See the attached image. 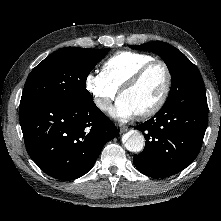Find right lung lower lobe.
I'll return each mask as SVG.
<instances>
[{
    "label": "right lung lower lobe",
    "instance_id": "obj_1",
    "mask_svg": "<svg viewBox=\"0 0 221 221\" xmlns=\"http://www.w3.org/2000/svg\"><path fill=\"white\" fill-rule=\"evenodd\" d=\"M20 125L29 156L60 180L90 171L103 146L119 134L92 99L21 102Z\"/></svg>",
    "mask_w": 221,
    "mask_h": 221
}]
</instances>
